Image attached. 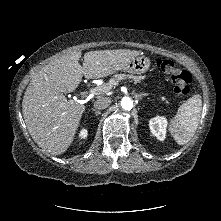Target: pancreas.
<instances>
[{
    "mask_svg": "<svg viewBox=\"0 0 221 221\" xmlns=\"http://www.w3.org/2000/svg\"><path fill=\"white\" fill-rule=\"evenodd\" d=\"M145 77L144 76H134V75H126V74H117L114 76V78L110 79L108 84L105 85L107 90H109L112 86H115L118 84L120 80L123 79H131L134 81V83H140L141 80H143ZM161 99L164 101L165 98L161 97Z\"/></svg>",
    "mask_w": 221,
    "mask_h": 221,
    "instance_id": "obj_1",
    "label": "pancreas"
}]
</instances>
